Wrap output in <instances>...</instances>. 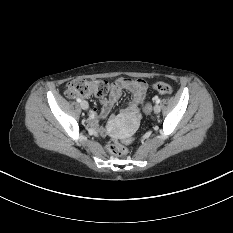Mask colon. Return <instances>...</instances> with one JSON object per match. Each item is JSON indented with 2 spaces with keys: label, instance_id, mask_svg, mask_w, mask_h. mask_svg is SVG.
Segmentation results:
<instances>
[{
  "label": "colon",
  "instance_id": "5ec220e1",
  "mask_svg": "<svg viewBox=\"0 0 233 233\" xmlns=\"http://www.w3.org/2000/svg\"><path fill=\"white\" fill-rule=\"evenodd\" d=\"M109 83L104 80H90L85 78H76L70 81L66 86V94L69 97L76 95L89 97L105 95L108 91ZM153 88L162 95H170L173 92L172 87L164 82H157L153 85ZM151 105L147 103L145 105L146 112H149ZM106 149L110 154L123 155L126 153V146L123 142L113 140L112 143L106 145Z\"/></svg>",
  "mask_w": 233,
  "mask_h": 233
}]
</instances>
